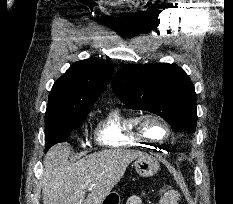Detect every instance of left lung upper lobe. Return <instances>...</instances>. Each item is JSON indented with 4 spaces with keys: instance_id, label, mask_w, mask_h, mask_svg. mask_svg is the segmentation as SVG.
I'll list each match as a JSON object with an SVG mask.
<instances>
[{
    "instance_id": "1",
    "label": "left lung upper lobe",
    "mask_w": 233,
    "mask_h": 204,
    "mask_svg": "<svg viewBox=\"0 0 233 204\" xmlns=\"http://www.w3.org/2000/svg\"><path fill=\"white\" fill-rule=\"evenodd\" d=\"M112 87L130 109L162 117L175 132H195L196 93L190 78L179 66L132 64L114 75Z\"/></svg>"
}]
</instances>
